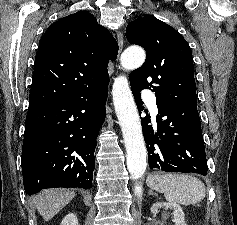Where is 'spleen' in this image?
Listing matches in <instances>:
<instances>
[{
	"label": "spleen",
	"instance_id": "obj_1",
	"mask_svg": "<svg viewBox=\"0 0 237 225\" xmlns=\"http://www.w3.org/2000/svg\"><path fill=\"white\" fill-rule=\"evenodd\" d=\"M147 184L163 193L170 203L194 205L201 202L206 194L203 182L188 174L153 173L148 176Z\"/></svg>",
	"mask_w": 237,
	"mask_h": 225
}]
</instances>
